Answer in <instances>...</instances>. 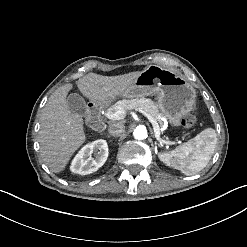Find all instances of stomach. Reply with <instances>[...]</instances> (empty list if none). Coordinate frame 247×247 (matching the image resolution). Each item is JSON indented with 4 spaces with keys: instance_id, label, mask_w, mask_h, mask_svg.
Returning a JSON list of instances; mask_svg holds the SVG:
<instances>
[{
    "instance_id": "1",
    "label": "stomach",
    "mask_w": 247,
    "mask_h": 247,
    "mask_svg": "<svg viewBox=\"0 0 247 247\" xmlns=\"http://www.w3.org/2000/svg\"><path fill=\"white\" fill-rule=\"evenodd\" d=\"M149 95H156L161 112L173 126H180L182 119L196 106V90L188 80L175 70L157 65L147 66L123 97L131 99ZM113 99L92 103L108 105Z\"/></svg>"
}]
</instances>
